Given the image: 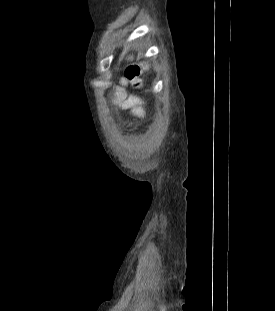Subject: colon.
Here are the masks:
<instances>
[{"mask_svg":"<svg viewBox=\"0 0 275 311\" xmlns=\"http://www.w3.org/2000/svg\"><path fill=\"white\" fill-rule=\"evenodd\" d=\"M143 72V66L140 64H134L130 66L126 71V76L134 83L136 88L141 87L142 80L141 74Z\"/></svg>","mask_w":275,"mask_h":311,"instance_id":"1","label":"colon"}]
</instances>
